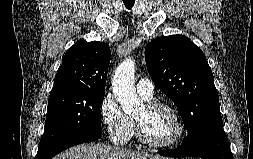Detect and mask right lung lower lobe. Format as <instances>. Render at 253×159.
<instances>
[{
    "mask_svg": "<svg viewBox=\"0 0 253 159\" xmlns=\"http://www.w3.org/2000/svg\"><path fill=\"white\" fill-rule=\"evenodd\" d=\"M102 131H79L73 134L67 135L58 141L51 144L49 147L41 152H37L36 159H51L61 151L66 150L77 144L87 143L97 140Z\"/></svg>",
    "mask_w": 253,
    "mask_h": 159,
    "instance_id": "1",
    "label": "right lung lower lobe"
}]
</instances>
